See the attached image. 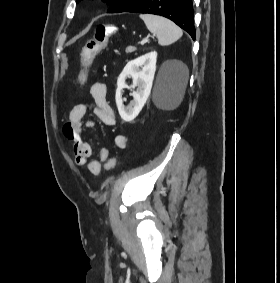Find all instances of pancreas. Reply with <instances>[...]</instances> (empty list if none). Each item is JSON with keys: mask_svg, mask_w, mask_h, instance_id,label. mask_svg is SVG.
Returning <instances> with one entry per match:
<instances>
[{"mask_svg": "<svg viewBox=\"0 0 280 283\" xmlns=\"http://www.w3.org/2000/svg\"><path fill=\"white\" fill-rule=\"evenodd\" d=\"M136 51V47H133V46H129L126 48V53H132Z\"/></svg>", "mask_w": 280, "mask_h": 283, "instance_id": "pancreas-1", "label": "pancreas"}]
</instances>
